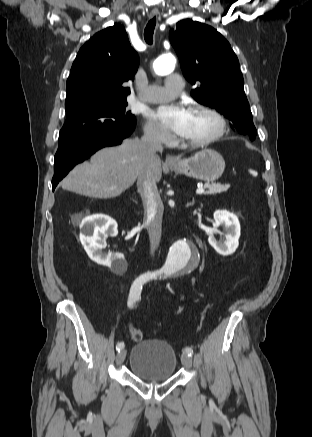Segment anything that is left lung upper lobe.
Segmentation results:
<instances>
[{"instance_id": "1", "label": "left lung upper lobe", "mask_w": 312, "mask_h": 437, "mask_svg": "<svg viewBox=\"0 0 312 437\" xmlns=\"http://www.w3.org/2000/svg\"><path fill=\"white\" fill-rule=\"evenodd\" d=\"M169 35L184 76L197 85L193 98L215 108L239 133L254 140L257 132L243 76L229 42L213 27L190 19L179 21Z\"/></svg>"}]
</instances>
